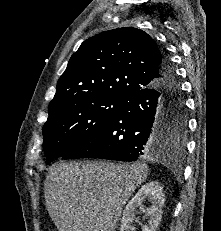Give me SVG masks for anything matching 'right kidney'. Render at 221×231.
<instances>
[{"label": "right kidney", "instance_id": "1", "mask_svg": "<svg viewBox=\"0 0 221 231\" xmlns=\"http://www.w3.org/2000/svg\"><path fill=\"white\" fill-rule=\"evenodd\" d=\"M148 199L151 206L146 208L148 223L142 227V231H156L162 218V207L165 202L163 188L157 181H149L143 185L135 196L126 205L121 219L120 231H131L132 222L135 218L136 209L142 207L143 202Z\"/></svg>", "mask_w": 221, "mask_h": 231}]
</instances>
